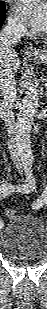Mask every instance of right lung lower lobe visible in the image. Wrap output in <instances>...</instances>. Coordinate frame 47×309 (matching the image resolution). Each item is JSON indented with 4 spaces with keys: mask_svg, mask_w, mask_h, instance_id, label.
Returning a JSON list of instances; mask_svg holds the SVG:
<instances>
[{
    "mask_svg": "<svg viewBox=\"0 0 47 309\" xmlns=\"http://www.w3.org/2000/svg\"><path fill=\"white\" fill-rule=\"evenodd\" d=\"M4 20H5V12L0 14V26H2Z\"/></svg>",
    "mask_w": 47,
    "mask_h": 309,
    "instance_id": "1",
    "label": "right lung lower lobe"
}]
</instances>
